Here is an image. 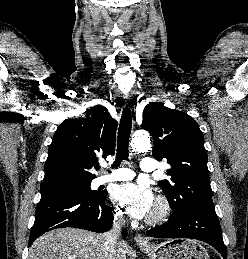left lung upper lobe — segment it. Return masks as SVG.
I'll use <instances>...</instances> for the list:
<instances>
[{
	"instance_id": "1",
	"label": "left lung upper lobe",
	"mask_w": 248,
	"mask_h": 259,
	"mask_svg": "<svg viewBox=\"0 0 248 259\" xmlns=\"http://www.w3.org/2000/svg\"><path fill=\"white\" fill-rule=\"evenodd\" d=\"M141 127L153 136V156L172 167L167 170L171 180L158 183L172 213L214 208L207 152L196 121L184 112L151 102L143 111Z\"/></svg>"
}]
</instances>
